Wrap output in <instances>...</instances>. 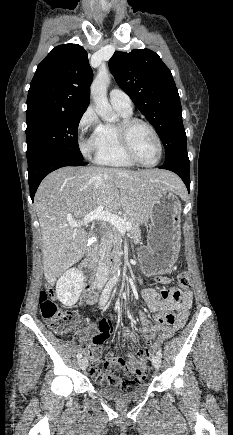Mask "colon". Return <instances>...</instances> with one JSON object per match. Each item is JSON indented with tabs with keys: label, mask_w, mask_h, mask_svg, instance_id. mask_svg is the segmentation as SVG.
I'll return each mask as SVG.
<instances>
[{
	"label": "colon",
	"mask_w": 233,
	"mask_h": 435,
	"mask_svg": "<svg viewBox=\"0 0 233 435\" xmlns=\"http://www.w3.org/2000/svg\"><path fill=\"white\" fill-rule=\"evenodd\" d=\"M177 283L184 289L190 286V279L187 272H182L177 276ZM54 294L55 290L52 286L46 287L40 292V312L43 319L47 322L48 327L53 332L59 335H65L70 331L76 315L71 310L59 308L53 299ZM82 351L86 352V348H82ZM133 373L136 376L134 379L120 383L119 386L121 390L127 392L133 390L137 386L139 369L133 370Z\"/></svg>",
	"instance_id": "1"
}]
</instances>
